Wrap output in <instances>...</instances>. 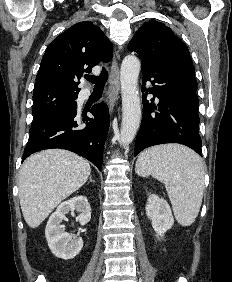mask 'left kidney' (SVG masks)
I'll list each match as a JSON object with an SVG mask.
<instances>
[{
	"label": "left kidney",
	"instance_id": "obj_1",
	"mask_svg": "<svg viewBox=\"0 0 232 282\" xmlns=\"http://www.w3.org/2000/svg\"><path fill=\"white\" fill-rule=\"evenodd\" d=\"M145 210L157 237L172 228L174 218L167 201L153 194L148 198Z\"/></svg>",
	"mask_w": 232,
	"mask_h": 282
}]
</instances>
